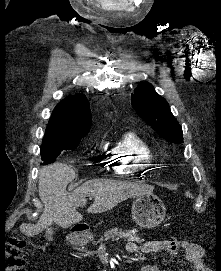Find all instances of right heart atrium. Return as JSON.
<instances>
[{"instance_id":"right-heart-atrium-1","label":"right heart atrium","mask_w":221,"mask_h":271,"mask_svg":"<svg viewBox=\"0 0 221 271\" xmlns=\"http://www.w3.org/2000/svg\"><path fill=\"white\" fill-rule=\"evenodd\" d=\"M112 155L116 154H111L110 151H98V156H100L101 159H112Z\"/></svg>"}]
</instances>
